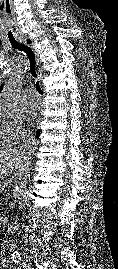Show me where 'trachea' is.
Listing matches in <instances>:
<instances>
[{"label":"trachea","instance_id":"1","mask_svg":"<svg viewBox=\"0 0 118 269\" xmlns=\"http://www.w3.org/2000/svg\"><path fill=\"white\" fill-rule=\"evenodd\" d=\"M10 44L13 48L18 49L20 51H23L26 53V55L29 58L30 61V73L33 77H37V73H36V58H35V54L33 52V50L25 45L24 43H19L17 42L15 39H9ZM36 90L38 91L39 94H43V91L41 89L40 83L39 81L36 82Z\"/></svg>","mask_w":118,"mask_h":269}]
</instances>
